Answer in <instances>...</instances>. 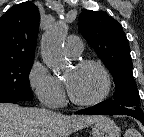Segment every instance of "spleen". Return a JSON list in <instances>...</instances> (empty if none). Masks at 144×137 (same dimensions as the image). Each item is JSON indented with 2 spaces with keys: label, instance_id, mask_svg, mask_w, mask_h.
<instances>
[{
  "label": "spleen",
  "instance_id": "1",
  "mask_svg": "<svg viewBox=\"0 0 144 137\" xmlns=\"http://www.w3.org/2000/svg\"><path fill=\"white\" fill-rule=\"evenodd\" d=\"M127 136L128 137H141V134L134 129H129L127 132Z\"/></svg>",
  "mask_w": 144,
  "mask_h": 137
}]
</instances>
